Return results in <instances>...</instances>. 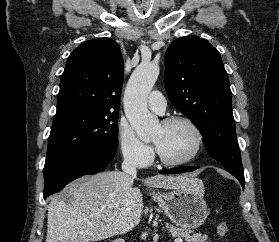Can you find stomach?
I'll return each mask as SVG.
<instances>
[{
  "instance_id": "0dacf381",
  "label": "stomach",
  "mask_w": 279,
  "mask_h": 242,
  "mask_svg": "<svg viewBox=\"0 0 279 242\" xmlns=\"http://www.w3.org/2000/svg\"><path fill=\"white\" fill-rule=\"evenodd\" d=\"M152 198L166 216L184 230L200 227L209 213L201 188L152 193Z\"/></svg>"
}]
</instances>
